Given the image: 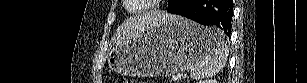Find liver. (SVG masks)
Masks as SVG:
<instances>
[{
	"instance_id": "liver-1",
	"label": "liver",
	"mask_w": 307,
	"mask_h": 83,
	"mask_svg": "<svg viewBox=\"0 0 307 83\" xmlns=\"http://www.w3.org/2000/svg\"><path fill=\"white\" fill-rule=\"evenodd\" d=\"M173 17L171 14L164 12H151L142 16L132 18L123 23L113 36L114 44L124 43L136 36H138L145 28L155 26Z\"/></svg>"
}]
</instances>
